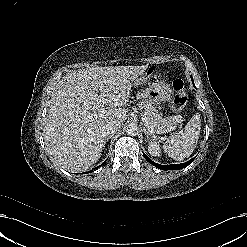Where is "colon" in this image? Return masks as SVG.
<instances>
[{
  "instance_id": "obj_1",
  "label": "colon",
  "mask_w": 247,
  "mask_h": 247,
  "mask_svg": "<svg viewBox=\"0 0 247 247\" xmlns=\"http://www.w3.org/2000/svg\"><path fill=\"white\" fill-rule=\"evenodd\" d=\"M169 82L174 92L173 110L179 112L184 108L187 102L186 89L183 81L179 78H172Z\"/></svg>"
}]
</instances>
